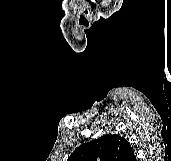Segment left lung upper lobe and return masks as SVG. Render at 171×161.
Here are the masks:
<instances>
[{"mask_svg":"<svg viewBox=\"0 0 171 161\" xmlns=\"http://www.w3.org/2000/svg\"><path fill=\"white\" fill-rule=\"evenodd\" d=\"M129 142L118 134H107L78 147L67 161H133Z\"/></svg>","mask_w":171,"mask_h":161,"instance_id":"5c2ea615","label":"left lung upper lobe"}]
</instances>
